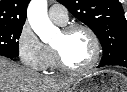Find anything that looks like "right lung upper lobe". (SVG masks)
I'll list each match as a JSON object with an SVG mask.
<instances>
[{
  "mask_svg": "<svg viewBox=\"0 0 127 92\" xmlns=\"http://www.w3.org/2000/svg\"><path fill=\"white\" fill-rule=\"evenodd\" d=\"M30 0H0V26H23Z\"/></svg>",
  "mask_w": 127,
  "mask_h": 92,
  "instance_id": "1",
  "label": "right lung upper lobe"
}]
</instances>
